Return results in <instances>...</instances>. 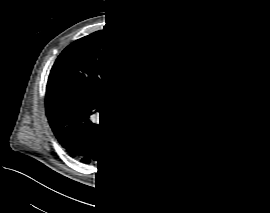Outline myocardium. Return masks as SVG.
Here are the masks:
<instances>
[{
  "label": "myocardium",
  "instance_id": "1",
  "mask_svg": "<svg viewBox=\"0 0 270 213\" xmlns=\"http://www.w3.org/2000/svg\"><path fill=\"white\" fill-rule=\"evenodd\" d=\"M177 54H178V52H177ZM176 86H177V85H173V88H176Z\"/></svg>",
  "mask_w": 270,
  "mask_h": 213
}]
</instances>
